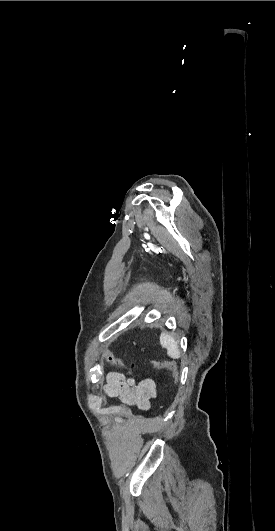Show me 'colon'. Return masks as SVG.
<instances>
[{"instance_id": "5ec220e1", "label": "colon", "mask_w": 275, "mask_h": 531, "mask_svg": "<svg viewBox=\"0 0 275 531\" xmlns=\"http://www.w3.org/2000/svg\"><path fill=\"white\" fill-rule=\"evenodd\" d=\"M102 356L106 358L107 362H109L112 365L115 366H123L124 362L123 360L117 356V353L115 350L110 349L108 351H104L102 353ZM153 367L157 370H167L173 377V380L176 381L177 378V368L175 364L168 360V359H158L153 362ZM132 369V367H130Z\"/></svg>"}]
</instances>
